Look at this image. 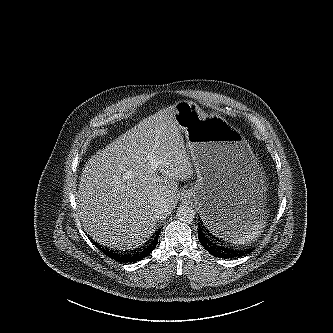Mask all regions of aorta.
I'll list each match as a JSON object with an SVG mask.
<instances>
[{"instance_id":"762f6f07","label":"aorta","mask_w":333,"mask_h":333,"mask_svg":"<svg viewBox=\"0 0 333 333\" xmlns=\"http://www.w3.org/2000/svg\"><path fill=\"white\" fill-rule=\"evenodd\" d=\"M176 216L181 222L190 223L195 218V210L191 206L183 205L177 209Z\"/></svg>"}]
</instances>
